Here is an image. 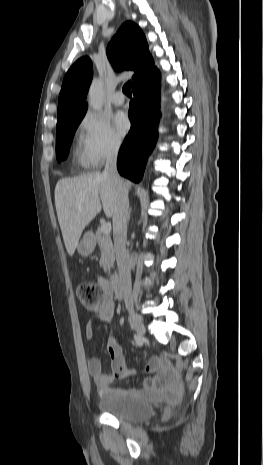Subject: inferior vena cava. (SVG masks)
<instances>
[{
	"mask_svg": "<svg viewBox=\"0 0 263 465\" xmlns=\"http://www.w3.org/2000/svg\"><path fill=\"white\" fill-rule=\"evenodd\" d=\"M119 148L120 143L118 142L109 149L106 155V164L103 176L108 177L116 188V205L112 218L114 249L125 306L127 309H132L133 298L130 272L131 266L129 255L126 250L129 201L128 191L117 172V156Z\"/></svg>",
	"mask_w": 263,
	"mask_h": 465,
	"instance_id": "inferior-vena-cava-1",
	"label": "inferior vena cava"
}]
</instances>
